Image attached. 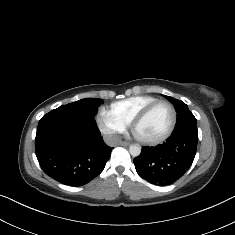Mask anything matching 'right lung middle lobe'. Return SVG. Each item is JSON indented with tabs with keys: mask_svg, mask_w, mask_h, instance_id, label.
Wrapping results in <instances>:
<instances>
[{
	"mask_svg": "<svg viewBox=\"0 0 235 235\" xmlns=\"http://www.w3.org/2000/svg\"><path fill=\"white\" fill-rule=\"evenodd\" d=\"M102 103L103 100L99 98H85L67 105H62L57 109L61 111H77L88 116H94L97 114L98 106Z\"/></svg>",
	"mask_w": 235,
	"mask_h": 235,
	"instance_id": "obj_1",
	"label": "right lung middle lobe"
}]
</instances>
